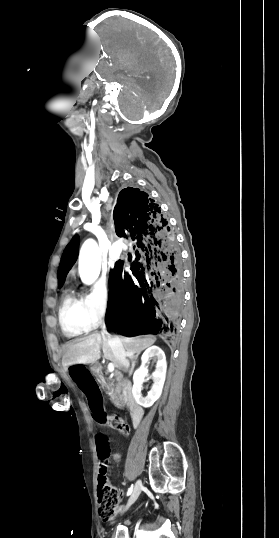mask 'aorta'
I'll use <instances>...</instances> for the list:
<instances>
[{
    "label": "aorta",
    "mask_w": 279,
    "mask_h": 538,
    "mask_svg": "<svg viewBox=\"0 0 279 538\" xmlns=\"http://www.w3.org/2000/svg\"><path fill=\"white\" fill-rule=\"evenodd\" d=\"M101 259L97 243L88 239L84 242L79 254V274L82 282L91 285L100 274Z\"/></svg>",
    "instance_id": "1"
}]
</instances>
